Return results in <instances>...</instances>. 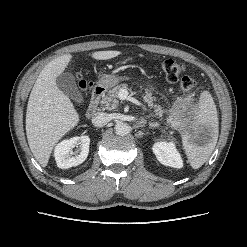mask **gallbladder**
<instances>
[{
    "label": "gallbladder",
    "mask_w": 247,
    "mask_h": 247,
    "mask_svg": "<svg viewBox=\"0 0 247 247\" xmlns=\"http://www.w3.org/2000/svg\"><path fill=\"white\" fill-rule=\"evenodd\" d=\"M57 87L78 104L83 103L82 93L79 91L72 73L64 72L56 78Z\"/></svg>",
    "instance_id": "obj_1"
}]
</instances>
